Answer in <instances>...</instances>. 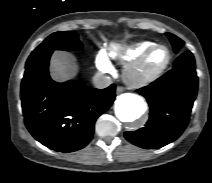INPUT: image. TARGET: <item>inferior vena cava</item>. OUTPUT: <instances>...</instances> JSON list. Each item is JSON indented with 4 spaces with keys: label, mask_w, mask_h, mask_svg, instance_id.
Returning <instances> with one entry per match:
<instances>
[{
    "label": "inferior vena cava",
    "mask_w": 212,
    "mask_h": 183,
    "mask_svg": "<svg viewBox=\"0 0 212 183\" xmlns=\"http://www.w3.org/2000/svg\"><path fill=\"white\" fill-rule=\"evenodd\" d=\"M93 83L96 88L103 89L111 85V77L103 74L102 72H97L93 77Z\"/></svg>",
    "instance_id": "inferior-vena-cava-1"
}]
</instances>
